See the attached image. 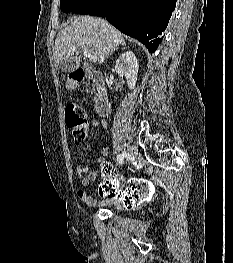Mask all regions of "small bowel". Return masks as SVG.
Returning a JSON list of instances; mask_svg holds the SVG:
<instances>
[{
	"mask_svg": "<svg viewBox=\"0 0 233 263\" xmlns=\"http://www.w3.org/2000/svg\"><path fill=\"white\" fill-rule=\"evenodd\" d=\"M92 126L94 128L101 127V128L107 129V122L105 120H94L92 122ZM101 153L102 155H106L108 153V149L104 148ZM97 162H98V169L96 170H91L90 167L87 165L77 167L76 172H77L78 177L80 178L81 185L83 188L89 187L92 181H94L98 177L100 171H114L113 168L108 163H106L103 157L98 158ZM77 196L80 201L92 207H101V206L113 203L116 206L117 210L126 209L122 207V204H123L122 202H112V199H108L107 195L100 194V196L103 199L98 201L92 196H90L84 189H79L77 191Z\"/></svg>",
	"mask_w": 233,
	"mask_h": 263,
	"instance_id": "obj_1",
	"label": "small bowel"
}]
</instances>
